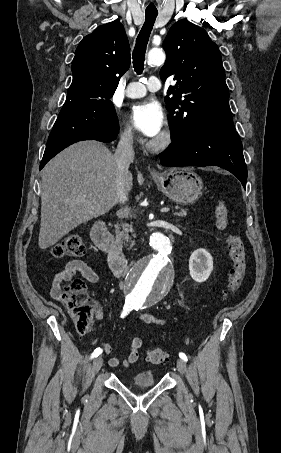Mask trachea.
<instances>
[{
  "instance_id": "obj_1",
  "label": "trachea",
  "mask_w": 281,
  "mask_h": 453,
  "mask_svg": "<svg viewBox=\"0 0 281 453\" xmlns=\"http://www.w3.org/2000/svg\"><path fill=\"white\" fill-rule=\"evenodd\" d=\"M158 13L146 12L145 22L136 39L133 50V67L137 74H141L144 69V57L150 33L154 26Z\"/></svg>"
}]
</instances>
